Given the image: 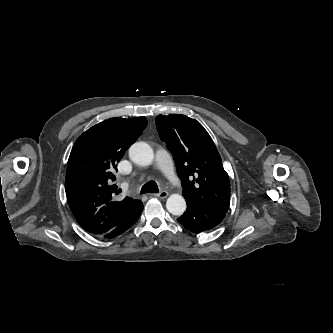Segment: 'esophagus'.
<instances>
[{"label": "esophagus", "mask_w": 333, "mask_h": 333, "mask_svg": "<svg viewBox=\"0 0 333 333\" xmlns=\"http://www.w3.org/2000/svg\"><path fill=\"white\" fill-rule=\"evenodd\" d=\"M154 196L161 198V199H165L168 196V192L163 190L160 193L154 194Z\"/></svg>", "instance_id": "1"}]
</instances>
